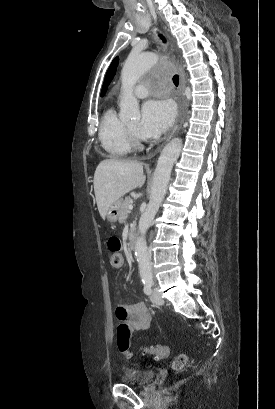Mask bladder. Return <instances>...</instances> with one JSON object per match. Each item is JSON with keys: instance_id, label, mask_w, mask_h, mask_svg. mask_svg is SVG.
I'll use <instances>...</instances> for the list:
<instances>
[{"instance_id": "obj_1", "label": "bladder", "mask_w": 275, "mask_h": 409, "mask_svg": "<svg viewBox=\"0 0 275 409\" xmlns=\"http://www.w3.org/2000/svg\"><path fill=\"white\" fill-rule=\"evenodd\" d=\"M157 377L156 371L136 367H128L119 375L121 384L148 386Z\"/></svg>"}]
</instances>
